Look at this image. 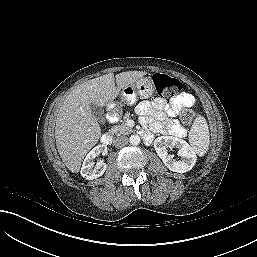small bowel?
I'll return each instance as SVG.
<instances>
[{
    "label": "small bowel",
    "instance_id": "obj_1",
    "mask_svg": "<svg viewBox=\"0 0 257 257\" xmlns=\"http://www.w3.org/2000/svg\"><path fill=\"white\" fill-rule=\"evenodd\" d=\"M195 103V98L190 93H182L169 103L162 98H156L152 102L143 101L138 104L137 112L142 116L145 126L151 131L158 133H168L174 136H183L185 129L178 123L167 117H173L182 107H190ZM152 134L145 132L147 141L151 140Z\"/></svg>",
    "mask_w": 257,
    "mask_h": 257
}]
</instances>
